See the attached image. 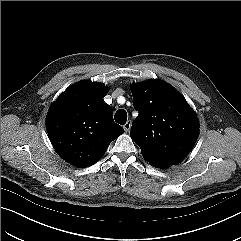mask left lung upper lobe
<instances>
[{"mask_svg":"<svg viewBox=\"0 0 241 241\" xmlns=\"http://www.w3.org/2000/svg\"><path fill=\"white\" fill-rule=\"evenodd\" d=\"M132 95L139 116L130 136L144 159L166 165L181 162L199 134L198 119L185 98L160 80L132 85Z\"/></svg>","mask_w":241,"mask_h":241,"instance_id":"1","label":"left lung upper lobe"}]
</instances>
